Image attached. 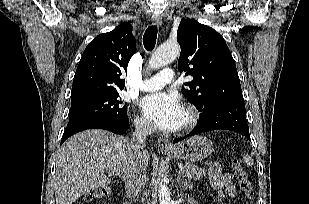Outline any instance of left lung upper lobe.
Segmentation results:
<instances>
[{"label": "left lung upper lobe", "instance_id": "1", "mask_svg": "<svg viewBox=\"0 0 309 204\" xmlns=\"http://www.w3.org/2000/svg\"><path fill=\"white\" fill-rule=\"evenodd\" d=\"M177 41L181 46L178 70L193 76L185 83L183 95L204 112L215 104L241 100L238 72L223 37L207 25L186 19L179 25Z\"/></svg>", "mask_w": 309, "mask_h": 204}]
</instances>
